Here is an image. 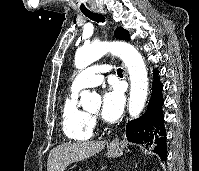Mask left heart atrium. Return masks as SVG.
Returning <instances> with one entry per match:
<instances>
[{
    "label": "left heart atrium",
    "instance_id": "39dd6f15",
    "mask_svg": "<svg viewBox=\"0 0 199 171\" xmlns=\"http://www.w3.org/2000/svg\"><path fill=\"white\" fill-rule=\"evenodd\" d=\"M125 96L120 85L110 86L102 98L101 116L107 122H116L122 115Z\"/></svg>",
    "mask_w": 199,
    "mask_h": 171
}]
</instances>
